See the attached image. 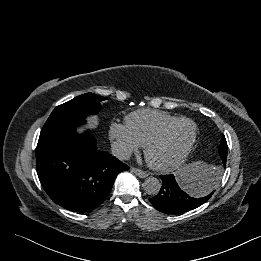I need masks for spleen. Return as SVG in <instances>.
Returning <instances> with one entry per match:
<instances>
[{
	"instance_id": "spleen-1",
	"label": "spleen",
	"mask_w": 261,
	"mask_h": 261,
	"mask_svg": "<svg viewBox=\"0 0 261 261\" xmlns=\"http://www.w3.org/2000/svg\"><path fill=\"white\" fill-rule=\"evenodd\" d=\"M211 170V167L203 162H194L187 166L186 172L187 176L194 178L196 175ZM196 195V194H195Z\"/></svg>"
}]
</instances>
